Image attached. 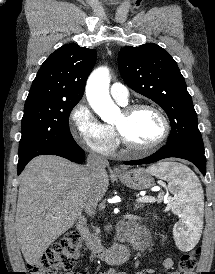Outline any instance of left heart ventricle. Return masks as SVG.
Masks as SVG:
<instances>
[{
    "label": "left heart ventricle",
    "mask_w": 215,
    "mask_h": 274,
    "mask_svg": "<svg viewBox=\"0 0 215 274\" xmlns=\"http://www.w3.org/2000/svg\"><path fill=\"white\" fill-rule=\"evenodd\" d=\"M129 141L136 145H148L160 137L163 124L159 116L148 109H141L129 116L122 112L114 123Z\"/></svg>",
    "instance_id": "1"
}]
</instances>
